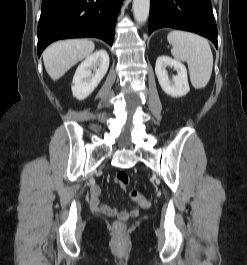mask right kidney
I'll list each match as a JSON object with an SVG mask.
<instances>
[{"label": "right kidney", "instance_id": "ca27d5eb", "mask_svg": "<svg viewBox=\"0 0 247 265\" xmlns=\"http://www.w3.org/2000/svg\"><path fill=\"white\" fill-rule=\"evenodd\" d=\"M109 68V55L98 50L89 55L77 68L72 81V93L78 100L87 98L106 75Z\"/></svg>", "mask_w": 247, "mask_h": 265}]
</instances>
